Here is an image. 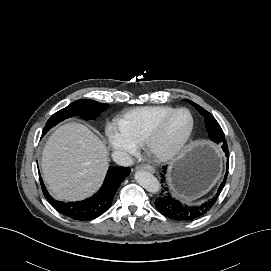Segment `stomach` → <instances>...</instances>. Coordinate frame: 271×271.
Returning a JSON list of instances; mask_svg holds the SVG:
<instances>
[{
  "label": "stomach",
  "mask_w": 271,
  "mask_h": 271,
  "mask_svg": "<svg viewBox=\"0 0 271 271\" xmlns=\"http://www.w3.org/2000/svg\"><path fill=\"white\" fill-rule=\"evenodd\" d=\"M221 172V156L211 145H190L171 165L169 181L176 195L193 199L206 193Z\"/></svg>",
  "instance_id": "1"
}]
</instances>
